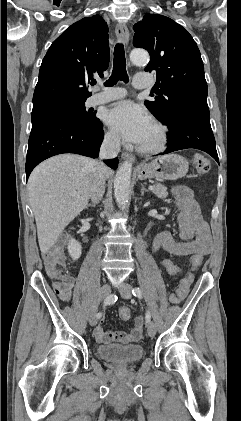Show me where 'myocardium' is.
Returning <instances> with one entry per match:
<instances>
[{
    "label": "myocardium",
    "instance_id": "obj_1",
    "mask_svg": "<svg viewBox=\"0 0 241 421\" xmlns=\"http://www.w3.org/2000/svg\"><path fill=\"white\" fill-rule=\"evenodd\" d=\"M157 132V140L154 144L149 146L139 145L137 151L142 154L152 155L162 152L168 143L169 133L168 128L159 121L152 123Z\"/></svg>",
    "mask_w": 241,
    "mask_h": 421
}]
</instances>
